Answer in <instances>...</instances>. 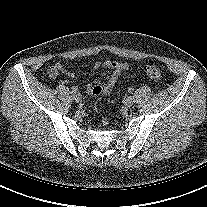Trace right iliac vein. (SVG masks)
Masks as SVG:
<instances>
[{
  "mask_svg": "<svg viewBox=\"0 0 207 207\" xmlns=\"http://www.w3.org/2000/svg\"><path fill=\"white\" fill-rule=\"evenodd\" d=\"M74 100L76 102H80L81 101V95L79 93H74V96H73Z\"/></svg>",
  "mask_w": 207,
  "mask_h": 207,
  "instance_id": "right-iliac-vein-1",
  "label": "right iliac vein"
}]
</instances>
